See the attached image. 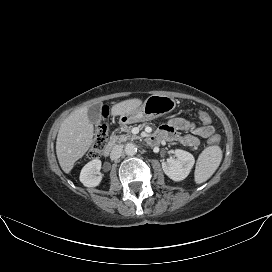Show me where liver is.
<instances>
[{
	"label": "liver",
	"instance_id": "obj_1",
	"mask_svg": "<svg viewBox=\"0 0 272 272\" xmlns=\"http://www.w3.org/2000/svg\"><path fill=\"white\" fill-rule=\"evenodd\" d=\"M142 104L138 98L121 101L111 108V115L130 112ZM88 108L72 112L61 124L56 141V154L65 173H69L75 162L82 158L93 142V125L87 116Z\"/></svg>",
	"mask_w": 272,
	"mask_h": 272
}]
</instances>
